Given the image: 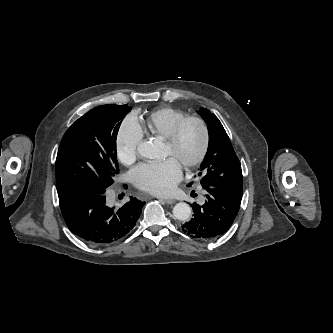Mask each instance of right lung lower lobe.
<instances>
[{
  "label": "right lung lower lobe",
  "instance_id": "obj_1",
  "mask_svg": "<svg viewBox=\"0 0 333 333\" xmlns=\"http://www.w3.org/2000/svg\"><path fill=\"white\" fill-rule=\"evenodd\" d=\"M70 231L93 245H109L135 226L145 202L130 197L120 208L108 207L104 193L82 192L59 198Z\"/></svg>",
  "mask_w": 333,
  "mask_h": 333
}]
</instances>
